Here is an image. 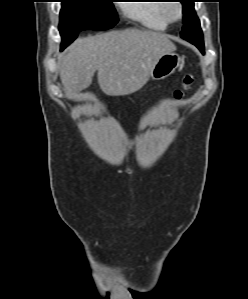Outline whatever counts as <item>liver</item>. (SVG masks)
I'll return each instance as SVG.
<instances>
[{
	"mask_svg": "<svg viewBox=\"0 0 248 299\" xmlns=\"http://www.w3.org/2000/svg\"><path fill=\"white\" fill-rule=\"evenodd\" d=\"M175 49L166 34L136 28L78 38L59 59L60 79L71 97L89 87L98 71L105 94L129 95L148 82L159 58Z\"/></svg>",
	"mask_w": 248,
	"mask_h": 299,
	"instance_id": "liver-1",
	"label": "liver"
}]
</instances>
